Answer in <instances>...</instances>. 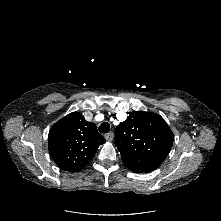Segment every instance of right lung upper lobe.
<instances>
[{
	"instance_id": "cb5924a9",
	"label": "right lung upper lobe",
	"mask_w": 221,
	"mask_h": 221,
	"mask_svg": "<svg viewBox=\"0 0 221 221\" xmlns=\"http://www.w3.org/2000/svg\"><path fill=\"white\" fill-rule=\"evenodd\" d=\"M48 147L54 162L62 170L78 172L90 163L105 138L94 123L79 112H72L56 122L49 131Z\"/></svg>"
}]
</instances>
